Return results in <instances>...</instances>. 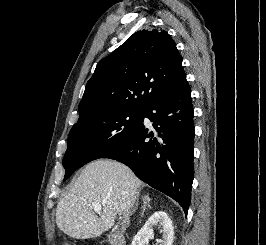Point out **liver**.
Segmentation results:
<instances>
[{
	"instance_id": "liver-1",
	"label": "liver",
	"mask_w": 266,
	"mask_h": 245,
	"mask_svg": "<svg viewBox=\"0 0 266 245\" xmlns=\"http://www.w3.org/2000/svg\"><path fill=\"white\" fill-rule=\"evenodd\" d=\"M142 183L129 167L111 159L86 165L56 209L58 229L73 239H92L115 225L116 215L129 213ZM93 203L102 205L97 217Z\"/></svg>"
}]
</instances>
